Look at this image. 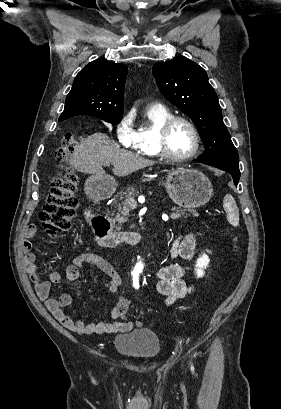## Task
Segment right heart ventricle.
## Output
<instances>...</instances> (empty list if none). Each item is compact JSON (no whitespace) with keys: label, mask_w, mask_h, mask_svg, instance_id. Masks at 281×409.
I'll use <instances>...</instances> for the list:
<instances>
[{"label":"right heart ventricle","mask_w":281,"mask_h":409,"mask_svg":"<svg viewBox=\"0 0 281 409\" xmlns=\"http://www.w3.org/2000/svg\"><path fill=\"white\" fill-rule=\"evenodd\" d=\"M147 116L149 123L135 131L132 149L142 156L158 157L160 155L155 145L157 129L173 115L167 109L152 108L147 111Z\"/></svg>","instance_id":"right-heart-ventricle-1"}]
</instances>
